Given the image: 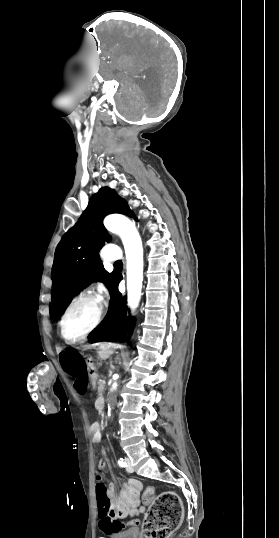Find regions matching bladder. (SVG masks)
<instances>
[{
	"mask_svg": "<svg viewBox=\"0 0 279 538\" xmlns=\"http://www.w3.org/2000/svg\"><path fill=\"white\" fill-rule=\"evenodd\" d=\"M109 538H139L138 532H110Z\"/></svg>",
	"mask_w": 279,
	"mask_h": 538,
	"instance_id": "obj_1",
	"label": "bladder"
}]
</instances>
